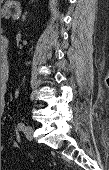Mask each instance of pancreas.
Segmentation results:
<instances>
[{
  "instance_id": "cf45deb5",
  "label": "pancreas",
  "mask_w": 109,
  "mask_h": 170,
  "mask_svg": "<svg viewBox=\"0 0 109 170\" xmlns=\"http://www.w3.org/2000/svg\"><path fill=\"white\" fill-rule=\"evenodd\" d=\"M9 14H11V10L7 6H3L1 8V19L6 18Z\"/></svg>"
}]
</instances>
